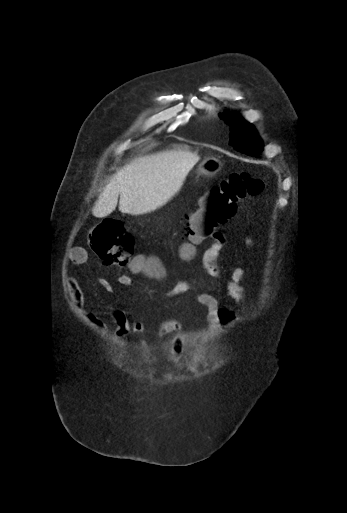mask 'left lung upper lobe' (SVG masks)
Returning a JSON list of instances; mask_svg holds the SVG:
<instances>
[{"label": "left lung upper lobe", "mask_w": 347, "mask_h": 513, "mask_svg": "<svg viewBox=\"0 0 347 513\" xmlns=\"http://www.w3.org/2000/svg\"><path fill=\"white\" fill-rule=\"evenodd\" d=\"M220 118L230 125V143L236 150L250 156L258 154L262 150V141L250 123L236 115H220Z\"/></svg>", "instance_id": "5c2ea615"}]
</instances>
